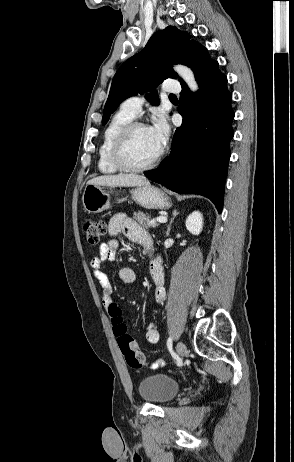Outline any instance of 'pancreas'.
Returning a JSON list of instances; mask_svg holds the SVG:
<instances>
[{"label":"pancreas","instance_id":"obj_1","mask_svg":"<svg viewBox=\"0 0 294 462\" xmlns=\"http://www.w3.org/2000/svg\"><path fill=\"white\" fill-rule=\"evenodd\" d=\"M133 218L143 227H155L157 225L156 222L151 223L150 216L142 211L135 212Z\"/></svg>","mask_w":294,"mask_h":462}]
</instances>
